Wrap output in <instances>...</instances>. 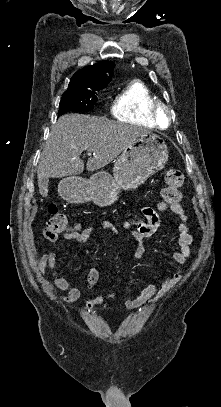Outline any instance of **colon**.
<instances>
[{
	"mask_svg": "<svg viewBox=\"0 0 221 407\" xmlns=\"http://www.w3.org/2000/svg\"><path fill=\"white\" fill-rule=\"evenodd\" d=\"M164 186L160 191V208L172 207L182 198L181 187L184 184V174L179 169H169L164 175ZM49 218L44 227L42 237L45 240H55L58 235L69 229L67 216L58 212L55 205L48 208Z\"/></svg>",
	"mask_w": 221,
	"mask_h": 407,
	"instance_id": "5ec220e1",
	"label": "colon"
}]
</instances>
